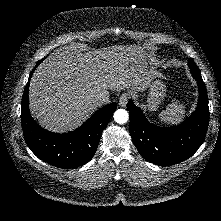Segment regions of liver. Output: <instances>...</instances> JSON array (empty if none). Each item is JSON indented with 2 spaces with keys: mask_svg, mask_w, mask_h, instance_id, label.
Here are the masks:
<instances>
[{
  "mask_svg": "<svg viewBox=\"0 0 221 221\" xmlns=\"http://www.w3.org/2000/svg\"><path fill=\"white\" fill-rule=\"evenodd\" d=\"M138 46H111L82 52L67 47L50 55L29 87L31 114L53 132L80 126L98 108L99 95L130 88L142 92L156 75Z\"/></svg>",
  "mask_w": 221,
  "mask_h": 221,
  "instance_id": "liver-1",
  "label": "liver"
}]
</instances>
